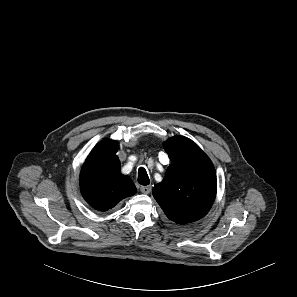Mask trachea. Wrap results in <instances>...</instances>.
<instances>
[{
	"label": "trachea",
	"instance_id": "obj_1",
	"mask_svg": "<svg viewBox=\"0 0 297 297\" xmlns=\"http://www.w3.org/2000/svg\"><path fill=\"white\" fill-rule=\"evenodd\" d=\"M138 183L143 186H146L150 183L147 171L143 167L139 168L138 170Z\"/></svg>",
	"mask_w": 297,
	"mask_h": 297
}]
</instances>
